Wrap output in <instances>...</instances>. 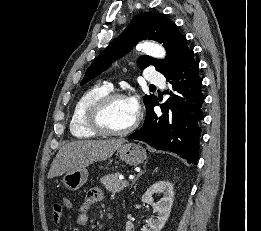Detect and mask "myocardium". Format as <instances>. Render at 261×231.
Segmentation results:
<instances>
[{
	"label": "myocardium",
	"mask_w": 261,
	"mask_h": 231,
	"mask_svg": "<svg viewBox=\"0 0 261 231\" xmlns=\"http://www.w3.org/2000/svg\"><path fill=\"white\" fill-rule=\"evenodd\" d=\"M117 99H129L123 92H109L95 103H93L87 113L88 126L98 134L109 136H124L133 132L139 125L140 115L137 112L132 124L123 130H113L108 127L104 120V114L108 107Z\"/></svg>",
	"instance_id": "obj_1"
}]
</instances>
